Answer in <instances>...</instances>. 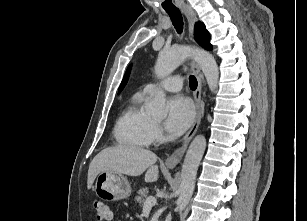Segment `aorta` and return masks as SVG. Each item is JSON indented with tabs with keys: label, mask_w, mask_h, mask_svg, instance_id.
<instances>
[{
	"label": "aorta",
	"mask_w": 307,
	"mask_h": 221,
	"mask_svg": "<svg viewBox=\"0 0 307 221\" xmlns=\"http://www.w3.org/2000/svg\"><path fill=\"white\" fill-rule=\"evenodd\" d=\"M188 57H193L200 66L209 89L211 91L216 90L219 80L218 65L214 57L204 50L192 49L187 46L163 49L159 52L155 64V74L160 79L170 75ZM165 104V93L160 90L157 92L154 99L146 106V111L152 116L164 118L166 116ZM205 149L206 139L203 135L196 136L188 148L182 165L180 194L176 202V209L179 212L187 206L192 197L197 170Z\"/></svg>",
	"instance_id": "aorta-1"
}]
</instances>
